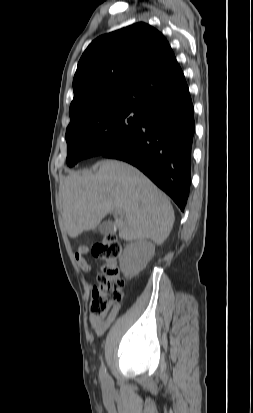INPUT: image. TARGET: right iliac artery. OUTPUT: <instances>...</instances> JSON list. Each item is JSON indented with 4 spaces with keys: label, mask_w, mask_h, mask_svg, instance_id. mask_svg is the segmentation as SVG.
<instances>
[{
    "label": "right iliac artery",
    "mask_w": 253,
    "mask_h": 413,
    "mask_svg": "<svg viewBox=\"0 0 253 413\" xmlns=\"http://www.w3.org/2000/svg\"><path fill=\"white\" fill-rule=\"evenodd\" d=\"M105 376H106V367L104 366V364H102L100 367V378L104 379Z\"/></svg>",
    "instance_id": "82829eb1"
}]
</instances>
